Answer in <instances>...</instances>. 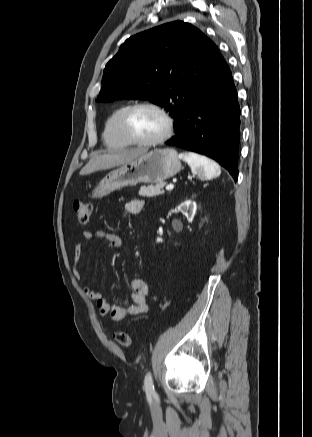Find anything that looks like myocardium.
<instances>
[{
  "label": "myocardium",
  "mask_w": 312,
  "mask_h": 437,
  "mask_svg": "<svg viewBox=\"0 0 312 437\" xmlns=\"http://www.w3.org/2000/svg\"><path fill=\"white\" fill-rule=\"evenodd\" d=\"M140 108L152 109L164 119L165 130L159 137L151 140H140L137 139L131 132L129 128V120L133 115V113ZM119 130L122 136L127 140V142L132 145L144 146V147L157 146L166 142L171 137L173 133V119L165 109H163L160 105L156 103L149 102V101L138 102L128 106L123 111L119 119Z\"/></svg>",
  "instance_id": "f54148a6"
}]
</instances>
